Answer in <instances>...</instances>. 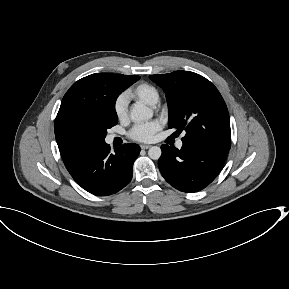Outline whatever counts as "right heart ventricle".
<instances>
[{
  "mask_svg": "<svg viewBox=\"0 0 289 289\" xmlns=\"http://www.w3.org/2000/svg\"><path fill=\"white\" fill-rule=\"evenodd\" d=\"M125 96L148 105H155L159 100L158 89L154 85L146 82L135 85L127 91Z\"/></svg>",
  "mask_w": 289,
  "mask_h": 289,
  "instance_id": "right-heart-ventricle-1",
  "label": "right heart ventricle"
}]
</instances>
